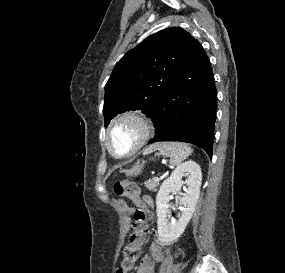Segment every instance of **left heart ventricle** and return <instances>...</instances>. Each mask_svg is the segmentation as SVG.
<instances>
[{
    "instance_id": "obj_1",
    "label": "left heart ventricle",
    "mask_w": 285,
    "mask_h": 273,
    "mask_svg": "<svg viewBox=\"0 0 285 273\" xmlns=\"http://www.w3.org/2000/svg\"><path fill=\"white\" fill-rule=\"evenodd\" d=\"M140 136L137 123L126 120L119 123L110 136V143L116 154H125L136 144Z\"/></svg>"
}]
</instances>
